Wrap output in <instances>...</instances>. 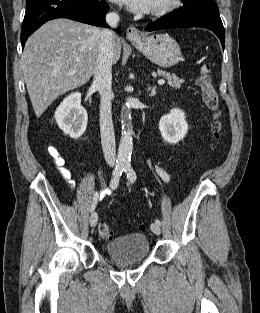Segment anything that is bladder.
Returning a JSON list of instances; mask_svg holds the SVG:
<instances>
[{
    "label": "bladder",
    "instance_id": "obj_1",
    "mask_svg": "<svg viewBox=\"0 0 260 313\" xmlns=\"http://www.w3.org/2000/svg\"><path fill=\"white\" fill-rule=\"evenodd\" d=\"M105 252L119 266L137 265L150 255V244L145 234L135 233L111 240Z\"/></svg>",
    "mask_w": 260,
    "mask_h": 313
}]
</instances>
